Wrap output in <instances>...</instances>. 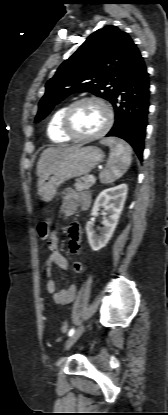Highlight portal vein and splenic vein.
Here are the masks:
<instances>
[{
  "mask_svg": "<svg viewBox=\"0 0 168 415\" xmlns=\"http://www.w3.org/2000/svg\"><path fill=\"white\" fill-rule=\"evenodd\" d=\"M88 178H89L90 180H93V179H94V176H93V175H89V176H88Z\"/></svg>",
  "mask_w": 168,
  "mask_h": 415,
  "instance_id": "portal-vein-and-splenic-vein-1",
  "label": "portal vein and splenic vein"
}]
</instances>
